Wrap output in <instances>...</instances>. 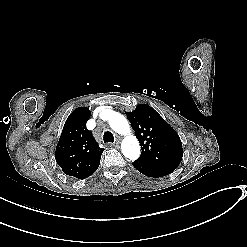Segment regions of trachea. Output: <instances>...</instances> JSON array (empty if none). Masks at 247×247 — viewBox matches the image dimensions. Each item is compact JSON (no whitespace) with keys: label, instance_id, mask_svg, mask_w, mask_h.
Returning a JSON list of instances; mask_svg holds the SVG:
<instances>
[{"label":"trachea","instance_id":"3493384b","mask_svg":"<svg viewBox=\"0 0 247 247\" xmlns=\"http://www.w3.org/2000/svg\"><path fill=\"white\" fill-rule=\"evenodd\" d=\"M103 140L105 143H113L114 142V136L110 131L104 132Z\"/></svg>","mask_w":247,"mask_h":247}]
</instances>
